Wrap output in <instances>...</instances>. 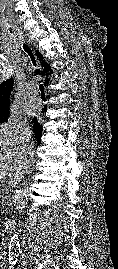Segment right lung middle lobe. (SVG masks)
<instances>
[{"label":"right lung middle lobe","mask_w":118,"mask_h":269,"mask_svg":"<svg viewBox=\"0 0 118 269\" xmlns=\"http://www.w3.org/2000/svg\"><path fill=\"white\" fill-rule=\"evenodd\" d=\"M9 116V105L0 107V123L4 122Z\"/></svg>","instance_id":"obj_1"}]
</instances>
